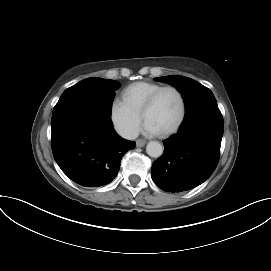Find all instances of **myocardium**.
I'll return each mask as SVG.
<instances>
[{
	"instance_id": "myocardium-1",
	"label": "myocardium",
	"mask_w": 271,
	"mask_h": 271,
	"mask_svg": "<svg viewBox=\"0 0 271 271\" xmlns=\"http://www.w3.org/2000/svg\"><path fill=\"white\" fill-rule=\"evenodd\" d=\"M167 90H171L174 91L180 101V113H179V117L177 119V121L175 122V124L168 129L165 132H162L161 135L162 136H170L172 134H174L181 126V124L184 121L185 115H186V102H185V98L183 93L175 86L172 85H168V86H162L161 88H159L158 90H156L145 102L143 108H142V112H141V116L144 120H146V115L148 114V112L153 108V106L155 105L158 97Z\"/></svg>"
}]
</instances>
